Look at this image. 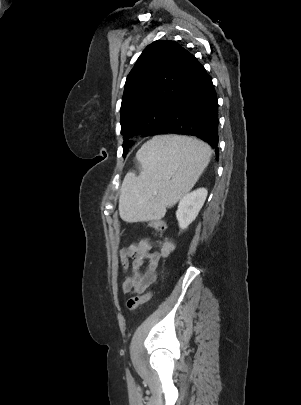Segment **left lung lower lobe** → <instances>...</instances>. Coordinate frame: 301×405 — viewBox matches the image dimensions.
Instances as JSON below:
<instances>
[{
    "mask_svg": "<svg viewBox=\"0 0 301 405\" xmlns=\"http://www.w3.org/2000/svg\"><path fill=\"white\" fill-rule=\"evenodd\" d=\"M197 137L219 154L218 102L211 77L194 57L187 79L154 135Z\"/></svg>",
    "mask_w": 301,
    "mask_h": 405,
    "instance_id": "obj_1",
    "label": "left lung lower lobe"
}]
</instances>
